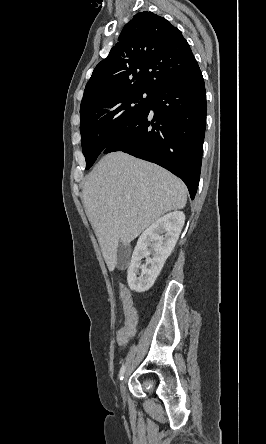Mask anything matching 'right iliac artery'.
Listing matches in <instances>:
<instances>
[{"instance_id":"obj_1","label":"right iliac artery","mask_w":266,"mask_h":444,"mask_svg":"<svg viewBox=\"0 0 266 444\" xmlns=\"http://www.w3.org/2000/svg\"><path fill=\"white\" fill-rule=\"evenodd\" d=\"M125 370H126V367H125V365H123L121 367V369H120V372H119V379L120 380H123V376H124Z\"/></svg>"}]
</instances>
